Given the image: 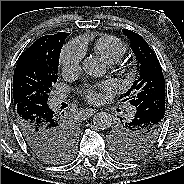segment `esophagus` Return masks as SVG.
Returning a JSON list of instances; mask_svg holds the SVG:
<instances>
[{
    "instance_id": "34e87169",
    "label": "esophagus",
    "mask_w": 184,
    "mask_h": 184,
    "mask_svg": "<svg viewBox=\"0 0 184 184\" xmlns=\"http://www.w3.org/2000/svg\"><path fill=\"white\" fill-rule=\"evenodd\" d=\"M95 112H96V110H94V109H86L84 111V114L86 115V117H91Z\"/></svg>"
}]
</instances>
